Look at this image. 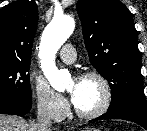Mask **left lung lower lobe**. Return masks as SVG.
I'll return each instance as SVG.
<instances>
[{
	"label": "left lung lower lobe",
	"mask_w": 147,
	"mask_h": 131,
	"mask_svg": "<svg viewBox=\"0 0 147 131\" xmlns=\"http://www.w3.org/2000/svg\"><path fill=\"white\" fill-rule=\"evenodd\" d=\"M106 119H123V120L132 121L141 125L147 130V109L122 108L113 111H107V113L91 121L106 120Z\"/></svg>",
	"instance_id": "left-lung-lower-lobe-1"
}]
</instances>
